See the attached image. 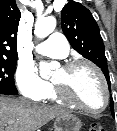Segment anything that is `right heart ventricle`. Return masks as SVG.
Instances as JSON below:
<instances>
[{
	"label": "right heart ventricle",
	"instance_id": "right-heart-ventricle-1",
	"mask_svg": "<svg viewBox=\"0 0 117 131\" xmlns=\"http://www.w3.org/2000/svg\"><path fill=\"white\" fill-rule=\"evenodd\" d=\"M43 99H47L49 101L56 102V103H61V100H59L58 97L56 96L52 86H50L49 91L47 92V94L44 96Z\"/></svg>",
	"mask_w": 117,
	"mask_h": 131
}]
</instances>
